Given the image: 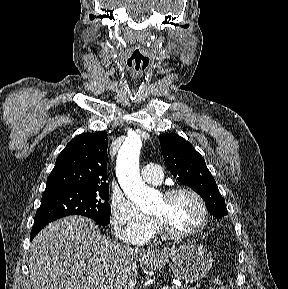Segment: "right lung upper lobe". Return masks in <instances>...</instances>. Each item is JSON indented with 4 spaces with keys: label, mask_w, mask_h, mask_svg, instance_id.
<instances>
[{
    "label": "right lung upper lobe",
    "mask_w": 288,
    "mask_h": 289,
    "mask_svg": "<svg viewBox=\"0 0 288 289\" xmlns=\"http://www.w3.org/2000/svg\"><path fill=\"white\" fill-rule=\"evenodd\" d=\"M108 137L105 132L83 133L59 154L47 178L46 189L109 187L107 181Z\"/></svg>",
    "instance_id": "cb5924a9"
}]
</instances>
